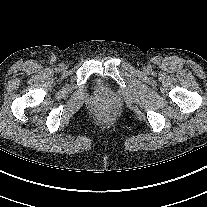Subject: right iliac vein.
<instances>
[{
    "label": "right iliac vein",
    "mask_w": 207,
    "mask_h": 207,
    "mask_svg": "<svg viewBox=\"0 0 207 207\" xmlns=\"http://www.w3.org/2000/svg\"><path fill=\"white\" fill-rule=\"evenodd\" d=\"M61 69L64 70L65 69V65L61 64Z\"/></svg>",
    "instance_id": "obj_1"
}]
</instances>
